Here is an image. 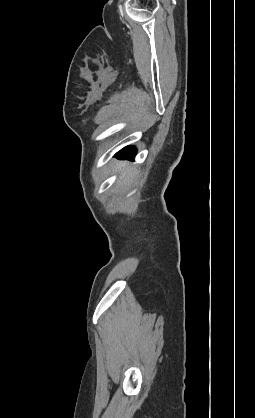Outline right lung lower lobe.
Returning a JSON list of instances; mask_svg holds the SVG:
<instances>
[{"instance_id":"right-lung-lower-lobe-1","label":"right lung lower lobe","mask_w":255,"mask_h":418,"mask_svg":"<svg viewBox=\"0 0 255 418\" xmlns=\"http://www.w3.org/2000/svg\"><path fill=\"white\" fill-rule=\"evenodd\" d=\"M135 155H136V149L133 146H128L122 149L121 151H119L116 154V157L123 158V159L125 158L133 159Z\"/></svg>"}]
</instances>
